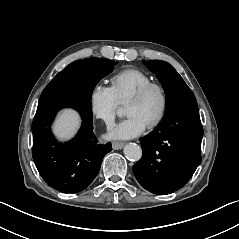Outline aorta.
I'll list each match as a JSON object with an SVG mask.
<instances>
[{
    "mask_svg": "<svg viewBox=\"0 0 239 239\" xmlns=\"http://www.w3.org/2000/svg\"><path fill=\"white\" fill-rule=\"evenodd\" d=\"M118 116H122V113H117ZM124 154L128 159H133L138 161L142 156V149L139 145L135 143H129L124 147Z\"/></svg>",
    "mask_w": 239,
    "mask_h": 239,
    "instance_id": "1",
    "label": "aorta"
}]
</instances>
